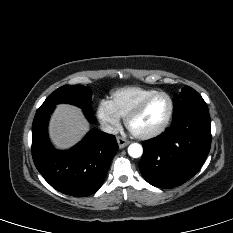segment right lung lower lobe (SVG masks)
Masks as SVG:
<instances>
[{
  "instance_id": "1",
  "label": "right lung lower lobe",
  "mask_w": 233,
  "mask_h": 233,
  "mask_svg": "<svg viewBox=\"0 0 233 233\" xmlns=\"http://www.w3.org/2000/svg\"><path fill=\"white\" fill-rule=\"evenodd\" d=\"M54 108H39L35 114L32 125L34 164L45 180L59 192L75 197L89 196L104 182L118 150L116 138L92 130L70 150L58 151L51 146L47 134L48 121ZM84 113L90 122H95L92 112Z\"/></svg>"
}]
</instances>
